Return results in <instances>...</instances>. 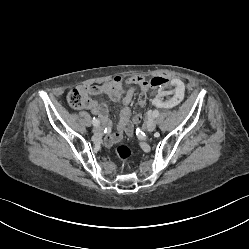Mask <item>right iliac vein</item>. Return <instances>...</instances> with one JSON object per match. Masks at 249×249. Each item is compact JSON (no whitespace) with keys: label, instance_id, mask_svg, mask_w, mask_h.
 Here are the masks:
<instances>
[{"label":"right iliac vein","instance_id":"obj_1","mask_svg":"<svg viewBox=\"0 0 249 249\" xmlns=\"http://www.w3.org/2000/svg\"><path fill=\"white\" fill-rule=\"evenodd\" d=\"M93 132L96 134V135H101L102 134V129L99 127V126H95L93 128Z\"/></svg>","mask_w":249,"mask_h":249}]
</instances>
